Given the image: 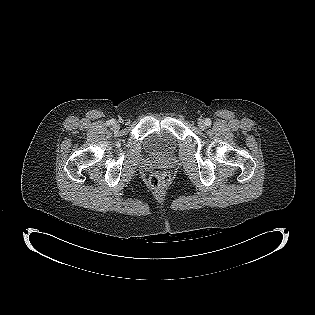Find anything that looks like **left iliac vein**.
<instances>
[{"instance_id": "left-iliac-vein-1", "label": "left iliac vein", "mask_w": 315, "mask_h": 315, "mask_svg": "<svg viewBox=\"0 0 315 315\" xmlns=\"http://www.w3.org/2000/svg\"><path fill=\"white\" fill-rule=\"evenodd\" d=\"M198 126L201 128V129H204L205 128V122L203 120H199L198 121Z\"/></svg>"}]
</instances>
